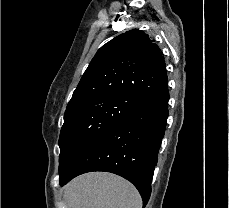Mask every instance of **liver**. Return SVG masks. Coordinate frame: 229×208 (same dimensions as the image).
<instances>
[{
  "label": "liver",
  "mask_w": 229,
  "mask_h": 208,
  "mask_svg": "<svg viewBox=\"0 0 229 208\" xmlns=\"http://www.w3.org/2000/svg\"><path fill=\"white\" fill-rule=\"evenodd\" d=\"M69 208H142V198L127 180L115 174L91 172L64 188Z\"/></svg>",
  "instance_id": "liver-1"
}]
</instances>
